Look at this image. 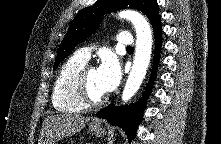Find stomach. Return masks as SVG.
<instances>
[{"label": "stomach", "instance_id": "stomach-1", "mask_svg": "<svg viewBox=\"0 0 221 144\" xmlns=\"http://www.w3.org/2000/svg\"><path fill=\"white\" fill-rule=\"evenodd\" d=\"M89 130L96 137H103L107 133L106 128L103 127V125H101L100 123H95V122L90 123Z\"/></svg>", "mask_w": 221, "mask_h": 144}]
</instances>
